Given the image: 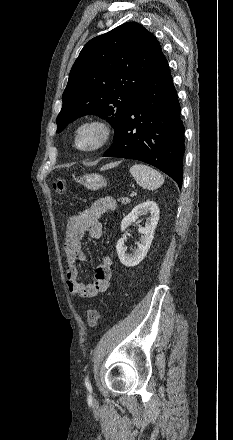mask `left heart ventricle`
Here are the masks:
<instances>
[{
	"label": "left heart ventricle",
	"mask_w": 233,
	"mask_h": 440,
	"mask_svg": "<svg viewBox=\"0 0 233 440\" xmlns=\"http://www.w3.org/2000/svg\"><path fill=\"white\" fill-rule=\"evenodd\" d=\"M100 139V132L97 128L87 127L81 131L79 135V145L81 147H92L94 146Z\"/></svg>",
	"instance_id": "1"
}]
</instances>
